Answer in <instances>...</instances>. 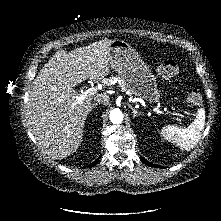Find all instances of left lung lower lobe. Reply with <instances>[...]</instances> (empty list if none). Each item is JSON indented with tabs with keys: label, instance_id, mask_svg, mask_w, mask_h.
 Returning <instances> with one entry per match:
<instances>
[{
	"label": "left lung lower lobe",
	"instance_id": "0a47b994",
	"mask_svg": "<svg viewBox=\"0 0 221 221\" xmlns=\"http://www.w3.org/2000/svg\"><path fill=\"white\" fill-rule=\"evenodd\" d=\"M141 161H142L143 163H145L146 165H149V166H151V167H159V168H161V167L158 166V165H154V164L148 162L147 160H145V159L142 158V157H141Z\"/></svg>",
	"mask_w": 221,
	"mask_h": 221
}]
</instances>
